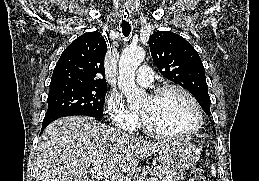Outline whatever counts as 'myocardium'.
<instances>
[{
  "label": "myocardium",
  "instance_id": "1",
  "mask_svg": "<svg viewBox=\"0 0 259 181\" xmlns=\"http://www.w3.org/2000/svg\"><path fill=\"white\" fill-rule=\"evenodd\" d=\"M177 91L184 95L192 104L196 112V123L193 128L184 132H166L155 129L149 125L143 114L139 113L141 125L146 133L160 138H188L195 135L203 125V111L196 98L184 87L177 84H164L155 88L149 95L151 99H157L168 91Z\"/></svg>",
  "mask_w": 259,
  "mask_h": 181
}]
</instances>
